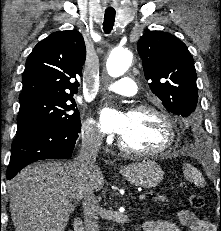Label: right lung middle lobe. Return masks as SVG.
<instances>
[{"instance_id": "1", "label": "right lung middle lobe", "mask_w": 221, "mask_h": 231, "mask_svg": "<svg viewBox=\"0 0 221 231\" xmlns=\"http://www.w3.org/2000/svg\"><path fill=\"white\" fill-rule=\"evenodd\" d=\"M17 132L28 125L48 123L80 131L79 111L73 96L37 95L20 99Z\"/></svg>"}]
</instances>
